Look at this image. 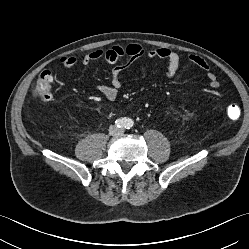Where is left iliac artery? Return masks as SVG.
<instances>
[{"label": "left iliac artery", "instance_id": "44dca946", "mask_svg": "<svg viewBox=\"0 0 249 249\" xmlns=\"http://www.w3.org/2000/svg\"><path fill=\"white\" fill-rule=\"evenodd\" d=\"M134 122L131 119H128L126 122V128L130 129L133 127Z\"/></svg>", "mask_w": 249, "mask_h": 249}]
</instances>
